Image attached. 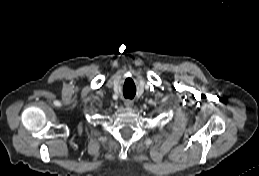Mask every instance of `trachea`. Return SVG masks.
I'll return each mask as SVG.
<instances>
[{"instance_id":"3493384b","label":"trachea","mask_w":259,"mask_h":176,"mask_svg":"<svg viewBox=\"0 0 259 176\" xmlns=\"http://www.w3.org/2000/svg\"><path fill=\"white\" fill-rule=\"evenodd\" d=\"M135 93H136L135 88H133V89L124 88L123 89V94H124L125 98L132 99L135 96Z\"/></svg>"}]
</instances>
